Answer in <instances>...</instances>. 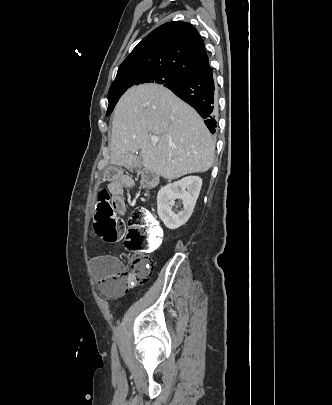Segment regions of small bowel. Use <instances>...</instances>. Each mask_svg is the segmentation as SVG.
I'll return each instance as SVG.
<instances>
[{"mask_svg": "<svg viewBox=\"0 0 332 405\" xmlns=\"http://www.w3.org/2000/svg\"><path fill=\"white\" fill-rule=\"evenodd\" d=\"M103 177H106L104 184L113 192L109 202L115 215H127L128 208L122 191L130 186L131 178L125 175V169L120 162H111L109 168H103ZM90 263L95 275L102 280L123 270L119 259L108 254L93 256L90 258Z\"/></svg>", "mask_w": 332, "mask_h": 405, "instance_id": "1", "label": "small bowel"}]
</instances>
